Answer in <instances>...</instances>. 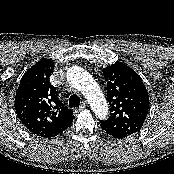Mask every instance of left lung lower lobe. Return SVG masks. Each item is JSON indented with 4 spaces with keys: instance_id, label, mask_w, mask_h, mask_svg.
<instances>
[{
    "instance_id": "left-lung-lower-lobe-1",
    "label": "left lung lower lobe",
    "mask_w": 174,
    "mask_h": 174,
    "mask_svg": "<svg viewBox=\"0 0 174 174\" xmlns=\"http://www.w3.org/2000/svg\"><path fill=\"white\" fill-rule=\"evenodd\" d=\"M101 128L103 129V127L101 126ZM104 130V129H103ZM105 131V130H104ZM106 132V131H105ZM107 133V132H106ZM107 134H109V133H107ZM110 135V134H109ZM112 136V135H111ZM113 137H115V136H113ZM115 138H118V137H115Z\"/></svg>"
}]
</instances>
